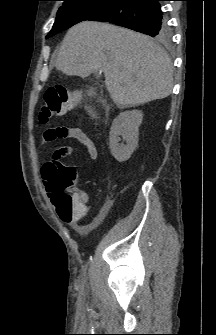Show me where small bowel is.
I'll use <instances>...</instances> for the list:
<instances>
[{"instance_id": "obj_1", "label": "small bowel", "mask_w": 216, "mask_h": 335, "mask_svg": "<svg viewBox=\"0 0 216 335\" xmlns=\"http://www.w3.org/2000/svg\"><path fill=\"white\" fill-rule=\"evenodd\" d=\"M64 139H75L86 149L87 157L90 161L95 160L98 157V149L95 143L89 138V136L84 133L80 128L77 127H56L47 130L44 136L41 138L43 143L64 140ZM72 151L69 148V153ZM57 151L52 155L50 159H59L56 155ZM46 162L42 167V180L48 191H51L50 187V170L54 167L51 165L46 168ZM74 200L79 204V208L72 212L71 214L61 217L69 226L81 234H86L96 226H98L102 221V216L100 214L90 217L89 206H88V196L82 190H77L74 196Z\"/></svg>"}]
</instances>
